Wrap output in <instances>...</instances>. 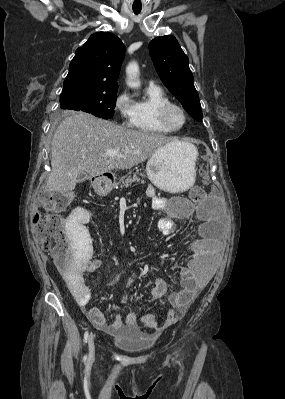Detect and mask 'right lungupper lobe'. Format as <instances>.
<instances>
[{"mask_svg": "<svg viewBox=\"0 0 285 399\" xmlns=\"http://www.w3.org/2000/svg\"><path fill=\"white\" fill-rule=\"evenodd\" d=\"M125 46L112 33L98 32L75 52L61 94L115 92Z\"/></svg>", "mask_w": 285, "mask_h": 399, "instance_id": "right-lung-upper-lobe-1", "label": "right lung upper lobe"}]
</instances>
